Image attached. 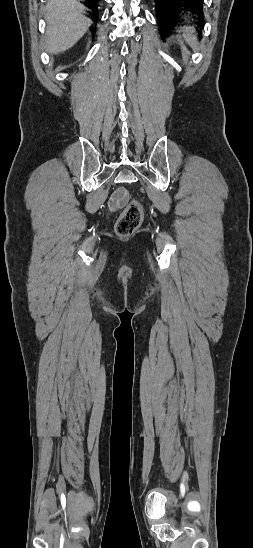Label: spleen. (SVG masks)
Returning <instances> with one entry per match:
<instances>
[{
	"instance_id": "spleen-1",
	"label": "spleen",
	"mask_w": 253,
	"mask_h": 548,
	"mask_svg": "<svg viewBox=\"0 0 253 548\" xmlns=\"http://www.w3.org/2000/svg\"><path fill=\"white\" fill-rule=\"evenodd\" d=\"M183 30V36L184 38L186 39V41L191 45V46H195L196 45V42H197V38L195 37V35H193V33L195 32V30L193 28H190V27H185L182 29Z\"/></svg>"
}]
</instances>
